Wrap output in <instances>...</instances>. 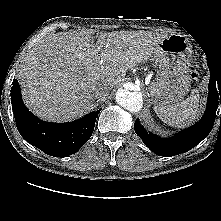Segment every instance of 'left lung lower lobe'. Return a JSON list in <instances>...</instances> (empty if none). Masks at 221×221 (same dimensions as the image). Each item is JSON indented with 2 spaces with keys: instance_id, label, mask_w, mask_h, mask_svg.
<instances>
[{
  "instance_id": "1",
  "label": "left lung lower lobe",
  "mask_w": 221,
  "mask_h": 221,
  "mask_svg": "<svg viewBox=\"0 0 221 221\" xmlns=\"http://www.w3.org/2000/svg\"><path fill=\"white\" fill-rule=\"evenodd\" d=\"M210 73L207 108L202 119L192 127L166 139L147 132L140 125L139 119L135 121L136 134L151 151L159 156H175L192 149L208 136L214 124L218 104H221V85L211 70Z\"/></svg>"
}]
</instances>
